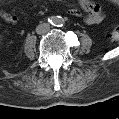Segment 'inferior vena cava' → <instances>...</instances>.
<instances>
[{
  "label": "inferior vena cava",
  "mask_w": 119,
  "mask_h": 119,
  "mask_svg": "<svg viewBox=\"0 0 119 119\" xmlns=\"http://www.w3.org/2000/svg\"><path fill=\"white\" fill-rule=\"evenodd\" d=\"M50 30V25L48 23L39 24L36 28L38 34L47 33Z\"/></svg>",
  "instance_id": "602c4592"
}]
</instances>
